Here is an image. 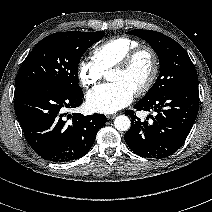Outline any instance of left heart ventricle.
I'll return each mask as SVG.
<instances>
[{
	"mask_svg": "<svg viewBox=\"0 0 212 212\" xmlns=\"http://www.w3.org/2000/svg\"><path fill=\"white\" fill-rule=\"evenodd\" d=\"M151 70V60L148 55H141L127 71L112 70L108 74L111 82H122L134 91L148 78Z\"/></svg>",
	"mask_w": 212,
	"mask_h": 212,
	"instance_id": "obj_1",
	"label": "left heart ventricle"
}]
</instances>
